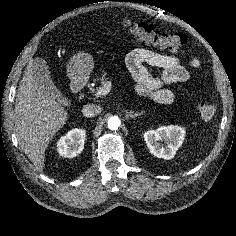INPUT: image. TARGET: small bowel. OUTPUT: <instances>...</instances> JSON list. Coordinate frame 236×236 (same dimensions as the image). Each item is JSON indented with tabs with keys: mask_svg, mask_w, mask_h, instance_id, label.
Masks as SVG:
<instances>
[{
	"mask_svg": "<svg viewBox=\"0 0 236 236\" xmlns=\"http://www.w3.org/2000/svg\"><path fill=\"white\" fill-rule=\"evenodd\" d=\"M126 66L136 82V93L144 98L161 104H170L174 100V93L164 86L172 83L186 82L190 73L175 56L161 54L146 48H137L129 51L125 57ZM146 64L162 69L159 76H152ZM188 66L197 70L200 61L197 57H191Z\"/></svg>",
	"mask_w": 236,
	"mask_h": 236,
	"instance_id": "obj_1",
	"label": "small bowel"
}]
</instances>
